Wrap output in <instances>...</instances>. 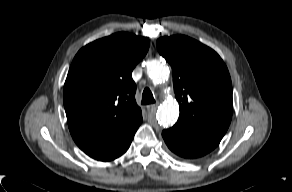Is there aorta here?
Masks as SVG:
<instances>
[{"label": "aorta", "instance_id": "obj_1", "mask_svg": "<svg viewBox=\"0 0 292 192\" xmlns=\"http://www.w3.org/2000/svg\"><path fill=\"white\" fill-rule=\"evenodd\" d=\"M147 73L153 82L160 83L168 79L170 71L165 63L154 59L148 62ZM178 116L179 107L176 102H167L163 104L156 114L158 123L164 127L173 125L178 119Z\"/></svg>", "mask_w": 292, "mask_h": 192}]
</instances>
